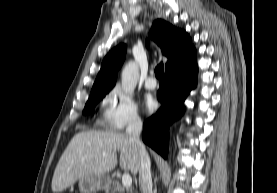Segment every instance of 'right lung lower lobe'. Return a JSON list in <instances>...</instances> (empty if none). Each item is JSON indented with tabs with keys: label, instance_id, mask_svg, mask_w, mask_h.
I'll list each match as a JSON object with an SVG mask.
<instances>
[{
	"label": "right lung lower lobe",
	"instance_id": "right-lung-lower-lobe-1",
	"mask_svg": "<svg viewBox=\"0 0 277 193\" xmlns=\"http://www.w3.org/2000/svg\"><path fill=\"white\" fill-rule=\"evenodd\" d=\"M197 72L195 50L167 68L157 92L161 108L144 123V143L164 158L168 155L169 125L184 113V101L196 86Z\"/></svg>",
	"mask_w": 277,
	"mask_h": 193
}]
</instances>
